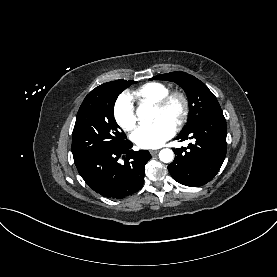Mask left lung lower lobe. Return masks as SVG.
Listing matches in <instances>:
<instances>
[{
	"label": "left lung lower lobe",
	"instance_id": "obj_1",
	"mask_svg": "<svg viewBox=\"0 0 277 277\" xmlns=\"http://www.w3.org/2000/svg\"><path fill=\"white\" fill-rule=\"evenodd\" d=\"M226 120L222 110L200 120L177 140L194 139L187 148L175 149V159L168 166L172 178L180 184L199 187L211 181L226 156Z\"/></svg>",
	"mask_w": 277,
	"mask_h": 277
}]
</instances>
